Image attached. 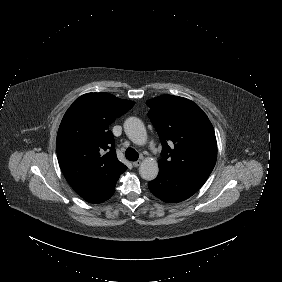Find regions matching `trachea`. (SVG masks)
I'll return each instance as SVG.
<instances>
[{
	"label": "trachea",
	"mask_w": 282,
	"mask_h": 282,
	"mask_svg": "<svg viewBox=\"0 0 282 282\" xmlns=\"http://www.w3.org/2000/svg\"><path fill=\"white\" fill-rule=\"evenodd\" d=\"M125 157H126V159L134 162V161L138 160L139 154L133 148H128L125 152Z\"/></svg>",
	"instance_id": "1"
}]
</instances>
